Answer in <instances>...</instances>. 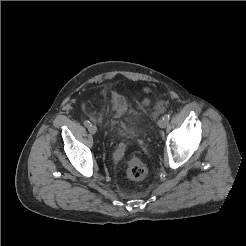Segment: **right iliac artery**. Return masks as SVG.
Returning <instances> with one entry per match:
<instances>
[{
	"label": "right iliac artery",
	"mask_w": 246,
	"mask_h": 246,
	"mask_svg": "<svg viewBox=\"0 0 246 246\" xmlns=\"http://www.w3.org/2000/svg\"><path fill=\"white\" fill-rule=\"evenodd\" d=\"M84 125L86 126V127H90L91 126V123L89 122V121H84Z\"/></svg>",
	"instance_id": "82829eb1"
}]
</instances>
